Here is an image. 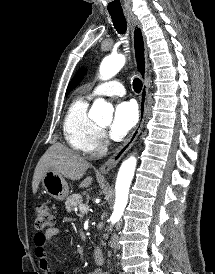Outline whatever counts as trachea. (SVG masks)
<instances>
[{
    "label": "trachea",
    "mask_w": 215,
    "mask_h": 274,
    "mask_svg": "<svg viewBox=\"0 0 215 274\" xmlns=\"http://www.w3.org/2000/svg\"><path fill=\"white\" fill-rule=\"evenodd\" d=\"M115 29L119 34H125L127 30V23L123 13H110ZM133 89L139 93L142 89V81L139 78H134Z\"/></svg>",
    "instance_id": "trachea-1"
}]
</instances>
